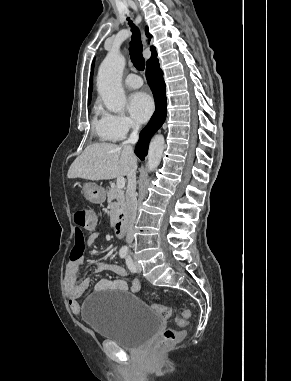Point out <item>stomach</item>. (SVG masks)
I'll return each mask as SVG.
<instances>
[{"label":"stomach","mask_w":291,"mask_h":381,"mask_svg":"<svg viewBox=\"0 0 291 381\" xmlns=\"http://www.w3.org/2000/svg\"><path fill=\"white\" fill-rule=\"evenodd\" d=\"M83 194L87 200L95 204H100L105 201L104 190L94 182L84 184Z\"/></svg>","instance_id":"1"}]
</instances>
